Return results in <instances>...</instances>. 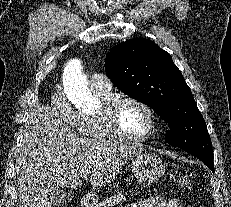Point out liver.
Masks as SVG:
<instances>
[{
	"instance_id": "liver-1",
	"label": "liver",
	"mask_w": 231,
	"mask_h": 207,
	"mask_svg": "<svg viewBox=\"0 0 231 207\" xmlns=\"http://www.w3.org/2000/svg\"><path fill=\"white\" fill-rule=\"evenodd\" d=\"M140 146L82 138L56 110L37 105L23 130L15 171L17 207H51L60 187L81 186L85 174L94 187L110 183Z\"/></svg>"
}]
</instances>
